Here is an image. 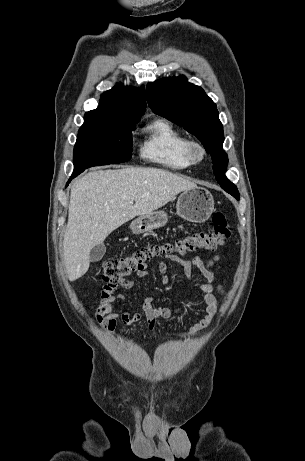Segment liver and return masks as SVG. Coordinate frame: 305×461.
Masks as SVG:
<instances>
[{
  "label": "liver",
  "instance_id": "liver-1",
  "mask_svg": "<svg viewBox=\"0 0 305 461\" xmlns=\"http://www.w3.org/2000/svg\"><path fill=\"white\" fill-rule=\"evenodd\" d=\"M195 187L187 179L156 168L99 170L78 178L71 187L63 241L69 280L75 281L88 271L91 249L112 231Z\"/></svg>",
  "mask_w": 305,
  "mask_h": 461
}]
</instances>
